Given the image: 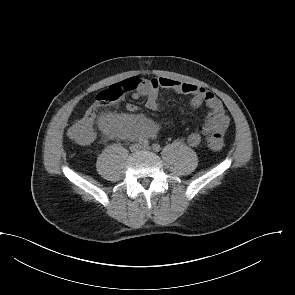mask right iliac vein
Returning <instances> with one entry per match:
<instances>
[{
	"label": "right iliac vein",
	"mask_w": 295,
	"mask_h": 295,
	"mask_svg": "<svg viewBox=\"0 0 295 295\" xmlns=\"http://www.w3.org/2000/svg\"><path fill=\"white\" fill-rule=\"evenodd\" d=\"M140 145L139 144H133L131 147H130V150L131 152L133 153H137L139 150H140Z\"/></svg>",
	"instance_id": "obj_1"
}]
</instances>
